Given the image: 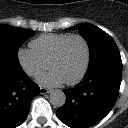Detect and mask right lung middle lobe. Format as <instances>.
<instances>
[{
  "mask_svg": "<svg viewBox=\"0 0 128 128\" xmlns=\"http://www.w3.org/2000/svg\"><path fill=\"white\" fill-rule=\"evenodd\" d=\"M33 33L34 31L24 28L0 25V67L14 71L22 69L18 49Z\"/></svg>",
  "mask_w": 128,
  "mask_h": 128,
  "instance_id": "obj_1",
  "label": "right lung middle lobe"
}]
</instances>
